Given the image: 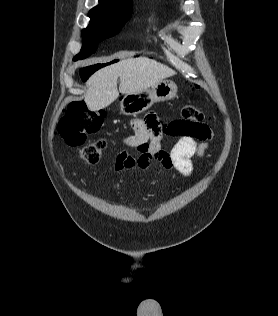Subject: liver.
I'll return each mask as SVG.
<instances>
[{
  "instance_id": "6515ba94",
  "label": "liver",
  "mask_w": 278,
  "mask_h": 316,
  "mask_svg": "<svg viewBox=\"0 0 278 316\" xmlns=\"http://www.w3.org/2000/svg\"><path fill=\"white\" fill-rule=\"evenodd\" d=\"M175 74L171 68L147 57L124 59L100 69L87 80L88 91L85 102L90 110L97 111L113 103L118 98L119 92L140 93Z\"/></svg>"
}]
</instances>
